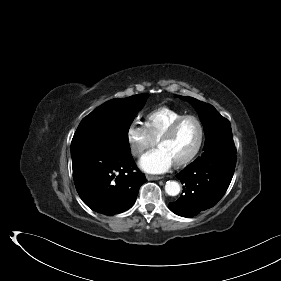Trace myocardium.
I'll list each match as a JSON object with an SVG mask.
<instances>
[{
    "label": "myocardium",
    "instance_id": "f54148a6",
    "mask_svg": "<svg viewBox=\"0 0 281 281\" xmlns=\"http://www.w3.org/2000/svg\"><path fill=\"white\" fill-rule=\"evenodd\" d=\"M186 119H193L196 121L198 128H199V138H198V142H197L194 150L184 159L174 163V165L176 167H183V166L190 164L192 161H194V159L197 157V155L199 154V152L202 148L205 131H204L203 123L200 120V118L193 114H185V115L180 116L179 118H177L175 121H173L171 123V125L167 128V130L163 133V135L157 141L158 146H160L163 142L169 140L175 134V132L178 129V127L180 126V124Z\"/></svg>",
    "mask_w": 281,
    "mask_h": 281
}]
</instances>
